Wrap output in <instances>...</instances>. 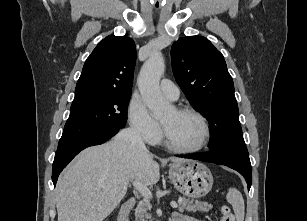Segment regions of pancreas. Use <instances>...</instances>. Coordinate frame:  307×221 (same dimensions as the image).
Here are the masks:
<instances>
[{
	"label": "pancreas",
	"instance_id": "cf45deb5",
	"mask_svg": "<svg viewBox=\"0 0 307 221\" xmlns=\"http://www.w3.org/2000/svg\"><path fill=\"white\" fill-rule=\"evenodd\" d=\"M179 203V210L183 212L184 210H187L189 212H196V211H202V212H208L210 209H212V205L208 204L207 202H201V201H194L189 200L184 197H179L178 199ZM151 205L149 201L142 200L139 202L136 208L135 216L136 219H139L140 221H147L149 219L152 221L151 214L147 213V210H150Z\"/></svg>",
	"mask_w": 307,
	"mask_h": 221
}]
</instances>
